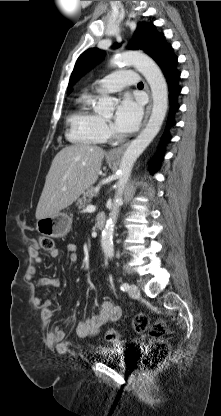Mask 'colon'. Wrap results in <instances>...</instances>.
<instances>
[{"label":"colon","instance_id":"colon-1","mask_svg":"<svg viewBox=\"0 0 221 416\" xmlns=\"http://www.w3.org/2000/svg\"><path fill=\"white\" fill-rule=\"evenodd\" d=\"M39 246L42 250L51 252L54 249V240L51 237L42 236L39 238ZM133 327L138 333L150 329L151 334L155 337L147 348L142 364L145 370L155 371L169 356L170 347L168 343L161 338L162 335L168 333L169 329L162 320H158L150 325L149 319L144 313H139L134 317ZM105 337L109 342H117L119 340L118 333L114 329H108L105 333Z\"/></svg>","mask_w":221,"mask_h":416}]
</instances>
